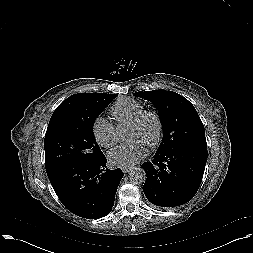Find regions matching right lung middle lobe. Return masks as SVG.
Listing matches in <instances>:
<instances>
[{
    "label": "right lung middle lobe",
    "mask_w": 253,
    "mask_h": 253,
    "mask_svg": "<svg viewBox=\"0 0 253 253\" xmlns=\"http://www.w3.org/2000/svg\"><path fill=\"white\" fill-rule=\"evenodd\" d=\"M116 96L110 94L80 112L51 117L44 141L47 174L82 163H93L104 156L95 140L93 125Z\"/></svg>",
    "instance_id": "right-lung-middle-lobe-1"
}]
</instances>
